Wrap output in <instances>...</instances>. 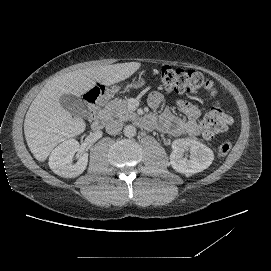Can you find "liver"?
Listing matches in <instances>:
<instances>
[{
	"instance_id": "liver-1",
	"label": "liver",
	"mask_w": 271,
	"mask_h": 271,
	"mask_svg": "<svg viewBox=\"0 0 271 271\" xmlns=\"http://www.w3.org/2000/svg\"><path fill=\"white\" fill-rule=\"evenodd\" d=\"M138 62L87 67L58 75L48 81L33 99L24 119V136L36 160L44 161L54 146L84 130L80 119H73L62 108L59 98L67 93L80 96L97 81L110 85L134 73Z\"/></svg>"
}]
</instances>
